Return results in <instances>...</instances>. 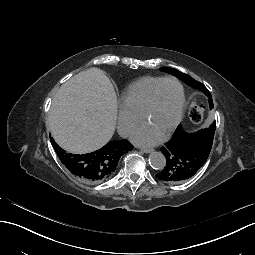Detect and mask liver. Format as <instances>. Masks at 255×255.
Instances as JSON below:
<instances>
[{
	"instance_id": "1",
	"label": "liver",
	"mask_w": 255,
	"mask_h": 255,
	"mask_svg": "<svg viewBox=\"0 0 255 255\" xmlns=\"http://www.w3.org/2000/svg\"><path fill=\"white\" fill-rule=\"evenodd\" d=\"M116 120L114 86L103 70L93 67L74 75L59 88L47 124L61 148L85 154L110 141Z\"/></svg>"
}]
</instances>
